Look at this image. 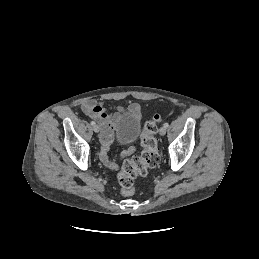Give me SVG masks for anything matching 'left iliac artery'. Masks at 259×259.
I'll return each mask as SVG.
<instances>
[{"instance_id":"1","label":"left iliac artery","mask_w":259,"mask_h":259,"mask_svg":"<svg viewBox=\"0 0 259 259\" xmlns=\"http://www.w3.org/2000/svg\"><path fill=\"white\" fill-rule=\"evenodd\" d=\"M168 126H169V124H168V123H164V127H166V128H167Z\"/></svg>"}]
</instances>
